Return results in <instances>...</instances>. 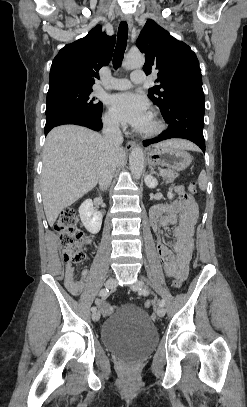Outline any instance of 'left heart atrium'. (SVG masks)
Masks as SVG:
<instances>
[{
  "instance_id": "39dd6f15",
  "label": "left heart atrium",
  "mask_w": 247,
  "mask_h": 407,
  "mask_svg": "<svg viewBox=\"0 0 247 407\" xmlns=\"http://www.w3.org/2000/svg\"><path fill=\"white\" fill-rule=\"evenodd\" d=\"M108 105L118 121L138 130L144 126L150 117L147 100L135 93L114 94L109 97Z\"/></svg>"
}]
</instances>
